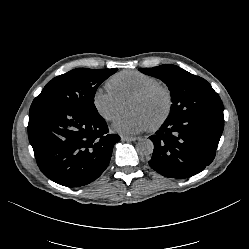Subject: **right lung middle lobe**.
<instances>
[{"mask_svg":"<svg viewBox=\"0 0 249 249\" xmlns=\"http://www.w3.org/2000/svg\"><path fill=\"white\" fill-rule=\"evenodd\" d=\"M113 69L77 68L55 77L46 84L37 96L30 111L47 107H70L84 112L97 113L94 96L98 86L109 76Z\"/></svg>","mask_w":249,"mask_h":249,"instance_id":"right-lung-middle-lobe-1","label":"right lung middle lobe"}]
</instances>
